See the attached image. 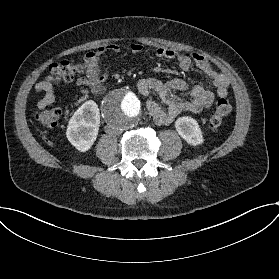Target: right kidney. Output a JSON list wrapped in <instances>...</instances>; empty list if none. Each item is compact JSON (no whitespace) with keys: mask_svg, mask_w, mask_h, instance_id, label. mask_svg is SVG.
<instances>
[{"mask_svg":"<svg viewBox=\"0 0 279 279\" xmlns=\"http://www.w3.org/2000/svg\"><path fill=\"white\" fill-rule=\"evenodd\" d=\"M100 126L98 105L93 100L84 102L69 120L66 136L79 151L85 152L95 142Z\"/></svg>","mask_w":279,"mask_h":279,"instance_id":"1","label":"right kidney"}]
</instances>
